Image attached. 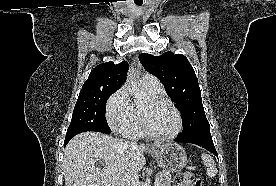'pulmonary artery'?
Masks as SVG:
<instances>
[{
  "label": "pulmonary artery",
  "mask_w": 276,
  "mask_h": 186,
  "mask_svg": "<svg viewBox=\"0 0 276 186\" xmlns=\"http://www.w3.org/2000/svg\"><path fill=\"white\" fill-rule=\"evenodd\" d=\"M141 83L144 87L148 88L153 92L158 93L161 90L159 80L151 74H145L141 79Z\"/></svg>",
  "instance_id": "e3ab8cb5"
}]
</instances>
